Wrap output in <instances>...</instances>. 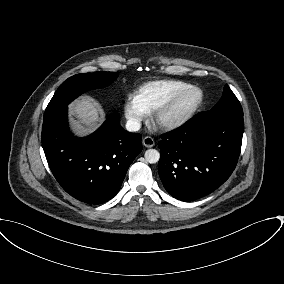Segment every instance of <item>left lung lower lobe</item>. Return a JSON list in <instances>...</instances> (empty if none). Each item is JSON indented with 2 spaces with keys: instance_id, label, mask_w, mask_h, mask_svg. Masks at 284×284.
<instances>
[{
  "instance_id": "1",
  "label": "left lung lower lobe",
  "mask_w": 284,
  "mask_h": 284,
  "mask_svg": "<svg viewBox=\"0 0 284 284\" xmlns=\"http://www.w3.org/2000/svg\"><path fill=\"white\" fill-rule=\"evenodd\" d=\"M243 130V112L211 109L163 134L158 171L167 192L192 201L216 190L236 167Z\"/></svg>"
}]
</instances>
